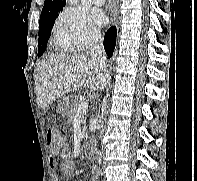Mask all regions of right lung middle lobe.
Returning <instances> with one entry per match:
<instances>
[{"label":"right lung middle lobe","instance_id":"obj_1","mask_svg":"<svg viewBox=\"0 0 197 181\" xmlns=\"http://www.w3.org/2000/svg\"><path fill=\"white\" fill-rule=\"evenodd\" d=\"M58 13L49 14L43 17H40L39 20V39H38V57L41 56L47 47L48 39L51 34V30L54 24L55 19L57 18Z\"/></svg>","mask_w":197,"mask_h":181}]
</instances>
